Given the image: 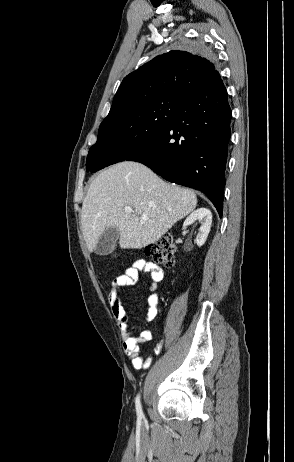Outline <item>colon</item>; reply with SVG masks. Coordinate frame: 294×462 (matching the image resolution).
Instances as JSON below:
<instances>
[{
	"label": "colon",
	"mask_w": 294,
	"mask_h": 462,
	"mask_svg": "<svg viewBox=\"0 0 294 462\" xmlns=\"http://www.w3.org/2000/svg\"><path fill=\"white\" fill-rule=\"evenodd\" d=\"M175 243L170 235H164L156 242L146 246L145 253L155 263L170 267L174 264Z\"/></svg>",
	"instance_id": "colon-1"
}]
</instances>
